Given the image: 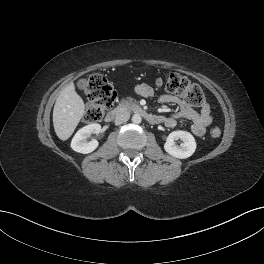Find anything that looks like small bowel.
Listing matches in <instances>:
<instances>
[{"mask_svg": "<svg viewBox=\"0 0 264 264\" xmlns=\"http://www.w3.org/2000/svg\"><path fill=\"white\" fill-rule=\"evenodd\" d=\"M134 92L141 97H151L154 92L147 84H139L135 87ZM159 102L164 104H173L178 107V111L164 118V124L168 128L177 126L180 119H187L191 122L190 130L195 136H202L206 131V127L212 122V115L208 103H203L200 110H196L187 104L183 99L171 94H163L159 97Z\"/></svg>", "mask_w": 264, "mask_h": 264, "instance_id": "obj_1", "label": "small bowel"}]
</instances>
